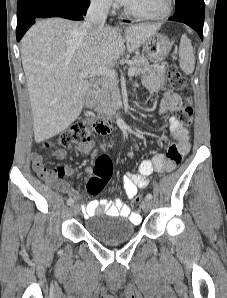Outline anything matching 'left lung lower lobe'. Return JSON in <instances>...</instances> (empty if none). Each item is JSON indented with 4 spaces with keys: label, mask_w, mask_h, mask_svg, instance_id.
<instances>
[{
    "label": "left lung lower lobe",
    "mask_w": 227,
    "mask_h": 298,
    "mask_svg": "<svg viewBox=\"0 0 227 298\" xmlns=\"http://www.w3.org/2000/svg\"><path fill=\"white\" fill-rule=\"evenodd\" d=\"M205 6L197 1H186L182 6H176L175 14L169 20L185 23L192 27L203 40V23ZM129 22V21H127Z\"/></svg>",
    "instance_id": "1"
}]
</instances>
